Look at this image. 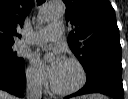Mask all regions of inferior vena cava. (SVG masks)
Returning a JSON list of instances; mask_svg holds the SVG:
<instances>
[{
    "mask_svg": "<svg viewBox=\"0 0 128 99\" xmlns=\"http://www.w3.org/2000/svg\"><path fill=\"white\" fill-rule=\"evenodd\" d=\"M42 96V81L36 77H29L26 84L27 99H41Z\"/></svg>",
    "mask_w": 128,
    "mask_h": 99,
    "instance_id": "inferior-vena-cava-1",
    "label": "inferior vena cava"
}]
</instances>
